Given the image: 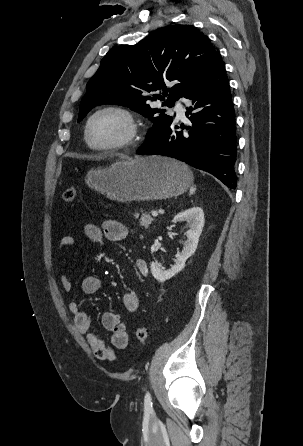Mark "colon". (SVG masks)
I'll return each instance as SVG.
<instances>
[{"instance_id":"obj_1","label":"colon","mask_w":303,"mask_h":446,"mask_svg":"<svg viewBox=\"0 0 303 446\" xmlns=\"http://www.w3.org/2000/svg\"><path fill=\"white\" fill-rule=\"evenodd\" d=\"M65 202L72 203L76 199V189L73 186L67 187L62 193ZM135 339L139 345L145 344L148 339V329L145 326H137L135 328Z\"/></svg>"}]
</instances>
